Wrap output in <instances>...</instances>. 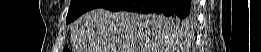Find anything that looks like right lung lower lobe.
<instances>
[{
	"instance_id": "obj_1",
	"label": "right lung lower lobe",
	"mask_w": 261,
	"mask_h": 52,
	"mask_svg": "<svg viewBox=\"0 0 261 52\" xmlns=\"http://www.w3.org/2000/svg\"><path fill=\"white\" fill-rule=\"evenodd\" d=\"M100 8L111 11L161 14L181 19H190L195 16V5L188 0H109Z\"/></svg>"
}]
</instances>
